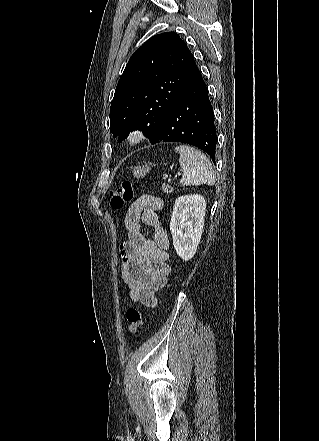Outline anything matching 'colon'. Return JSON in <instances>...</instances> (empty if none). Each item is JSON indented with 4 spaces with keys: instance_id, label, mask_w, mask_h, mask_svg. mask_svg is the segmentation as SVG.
<instances>
[{
    "instance_id": "1",
    "label": "colon",
    "mask_w": 319,
    "mask_h": 441,
    "mask_svg": "<svg viewBox=\"0 0 319 441\" xmlns=\"http://www.w3.org/2000/svg\"><path fill=\"white\" fill-rule=\"evenodd\" d=\"M134 198L133 184L130 181H124L120 187L110 192V205L113 210H121L126 203ZM128 321V332L131 336L138 334L143 324L141 310L137 307H131L126 313Z\"/></svg>"
}]
</instances>
